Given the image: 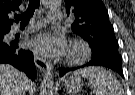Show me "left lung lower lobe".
<instances>
[{
  "mask_svg": "<svg viewBox=\"0 0 135 95\" xmlns=\"http://www.w3.org/2000/svg\"><path fill=\"white\" fill-rule=\"evenodd\" d=\"M121 63H122L121 55L114 49H109L104 54H92V60L84 66L108 67V68H111L112 70L118 72L122 77H124ZM78 68H80V67H74V68L61 67V68H59V75H60V77H62L67 72L74 71Z\"/></svg>",
  "mask_w": 135,
  "mask_h": 95,
  "instance_id": "0a47b994",
  "label": "left lung lower lobe"
}]
</instances>
